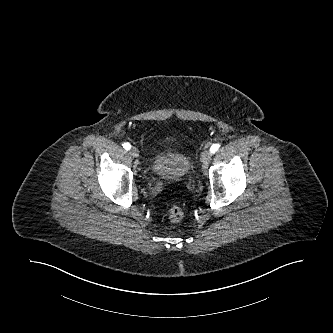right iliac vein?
Instances as JSON below:
<instances>
[{
  "mask_svg": "<svg viewBox=\"0 0 333 333\" xmlns=\"http://www.w3.org/2000/svg\"><path fill=\"white\" fill-rule=\"evenodd\" d=\"M129 154L133 157L136 158L139 156V151L136 147H132L129 151Z\"/></svg>",
  "mask_w": 333,
  "mask_h": 333,
  "instance_id": "63e3f726",
  "label": "right iliac vein"
}]
</instances>
